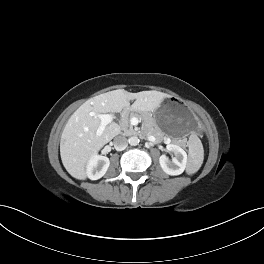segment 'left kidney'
<instances>
[{"label": "left kidney", "mask_w": 264, "mask_h": 264, "mask_svg": "<svg viewBox=\"0 0 264 264\" xmlns=\"http://www.w3.org/2000/svg\"><path fill=\"white\" fill-rule=\"evenodd\" d=\"M167 150L174 154L172 161L165 155H161L159 163L162 170L168 175H180L184 172L187 165V153L178 145L168 144Z\"/></svg>", "instance_id": "5707ae66"}]
</instances>
